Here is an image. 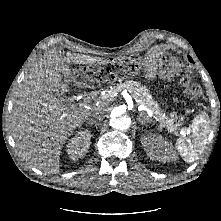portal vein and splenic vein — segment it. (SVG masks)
<instances>
[{
    "label": "portal vein and splenic vein",
    "instance_id": "obj_1",
    "mask_svg": "<svg viewBox=\"0 0 221 221\" xmlns=\"http://www.w3.org/2000/svg\"><path fill=\"white\" fill-rule=\"evenodd\" d=\"M117 94H115L114 96H116ZM135 99V98H134ZM135 101L139 104V107H138V110L139 111H146L147 114L149 115V117H152L153 116V113L150 109H148L147 107L143 106L140 104V100L138 99H135ZM182 135H184L186 133V128H182L181 129V132H180Z\"/></svg>",
    "mask_w": 221,
    "mask_h": 221
}]
</instances>
